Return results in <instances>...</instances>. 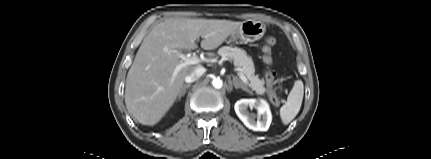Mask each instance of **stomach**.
Masks as SVG:
<instances>
[{"mask_svg": "<svg viewBox=\"0 0 431 159\" xmlns=\"http://www.w3.org/2000/svg\"><path fill=\"white\" fill-rule=\"evenodd\" d=\"M266 31L264 23L256 20H246L230 35L231 43H248L260 39Z\"/></svg>", "mask_w": 431, "mask_h": 159, "instance_id": "0dacf381", "label": "stomach"}]
</instances>
